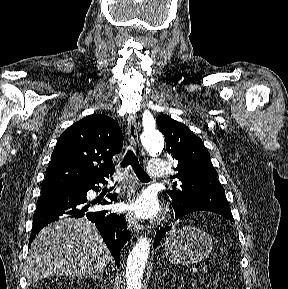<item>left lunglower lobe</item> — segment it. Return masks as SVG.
<instances>
[{
	"label": "left lung lower lobe",
	"instance_id": "left-lung-lower-lobe-1",
	"mask_svg": "<svg viewBox=\"0 0 288 289\" xmlns=\"http://www.w3.org/2000/svg\"><path fill=\"white\" fill-rule=\"evenodd\" d=\"M173 208L175 210L176 219L181 218L185 214L193 212V211H190V210H181V209H179L176 206H173ZM169 229H170V227L161 228L160 230H158L156 232V236H155V239H154V248H156L158 246V244L160 243L161 239L164 237L166 231L169 230Z\"/></svg>",
	"mask_w": 288,
	"mask_h": 289
}]
</instances>
